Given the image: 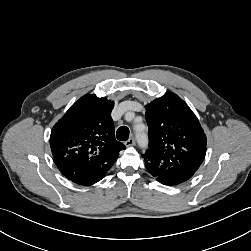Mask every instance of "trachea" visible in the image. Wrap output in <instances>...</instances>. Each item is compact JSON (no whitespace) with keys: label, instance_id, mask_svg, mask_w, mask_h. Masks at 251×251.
<instances>
[{"label":"trachea","instance_id":"trachea-1","mask_svg":"<svg viewBox=\"0 0 251 251\" xmlns=\"http://www.w3.org/2000/svg\"><path fill=\"white\" fill-rule=\"evenodd\" d=\"M129 129L126 126H121L116 132V137L120 141H126L129 138Z\"/></svg>","mask_w":251,"mask_h":251}]
</instances>
